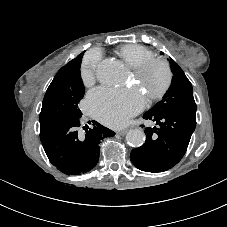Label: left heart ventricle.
Instances as JSON below:
<instances>
[{
    "label": "left heart ventricle",
    "instance_id": "1",
    "mask_svg": "<svg viewBox=\"0 0 227 227\" xmlns=\"http://www.w3.org/2000/svg\"><path fill=\"white\" fill-rule=\"evenodd\" d=\"M164 81V72L160 67L152 68L139 82V86L151 96Z\"/></svg>",
    "mask_w": 227,
    "mask_h": 227
}]
</instances>
